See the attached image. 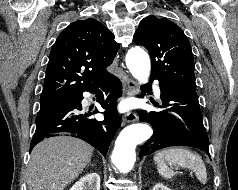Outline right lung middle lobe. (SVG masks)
Returning a JSON list of instances; mask_svg holds the SVG:
<instances>
[{
    "instance_id": "obj_1",
    "label": "right lung middle lobe",
    "mask_w": 238,
    "mask_h": 190,
    "mask_svg": "<svg viewBox=\"0 0 238 190\" xmlns=\"http://www.w3.org/2000/svg\"><path fill=\"white\" fill-rule=\"evenodd\" d=\"M75 99H76V97H71V98H66V99L57 100V101L41 102L40 103V111H44V110H47V109H51V108H54V107H58V106H62V105H65V104L72 103Z\"/></svg>"
}]
</instances>
